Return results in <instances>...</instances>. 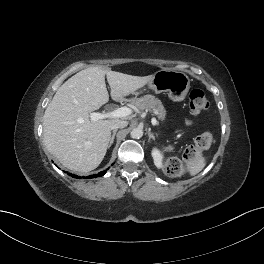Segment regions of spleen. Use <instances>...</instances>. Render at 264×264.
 Segmentation results:
<instances>
[{
  "label": "spleen",
  "mask_w": 264,
  "mask_h": 264,
  "mask_svg": "<svg viewBox=\"0 0 264 264\" xmlns=\"http://www.w3.org/2000/svg\"><path fill=\"white\" fill-rule=\"evenodd\" d=\"M206 165V160L204 157H197L193 161H189L187 164V170L191 176L199 173Z\"/></svg>",
  "instance_id": "spleen-1"
}]
</instances>
